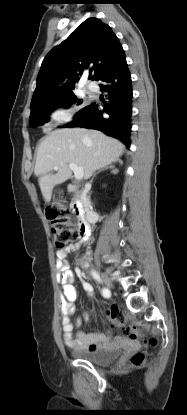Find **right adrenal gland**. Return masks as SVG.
I'll return each mask as SVG.
<instances>
[{
    "instance_id": "1",
    "label": "right adrenal gland",
    "mask_w": 187,
    "mask_h": 415,
    "mask_svg": "<svg viewBox=\"0 0 187 415\" xmlns=\"http://www.w3.org/2000/svg\"><path fill=\"white\" fill-rule=\"evenodd\" d=\"M106 169H112V172H113V173L115 172V170H114V165H109V166H107V167H105V168H103V169L99 170V171L97 172V174H99L101 171L106 170ZM97 174H95V176L92 178L91 183L93 182V179L96 177V175H97Z\"/></svg>"
}]
</instances>
